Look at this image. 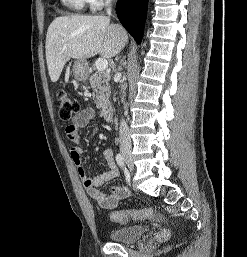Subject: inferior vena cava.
<instances>
[{
    "mask_svg": "<svg viewBox=\"0 0 247 257\" xmlns=\"http://www.w3.org/2000/svg\"><path fill=\"white\" fill-rule=\"evenodd\" d=\"M111 0H106V7L107 8V13L111 12V7H110ZM119 143L120 147H131V138H130V133H129V128L127 123L125 122L124 119L120 121V128H119Z\"/></svg>",
    "mask_w": 247,
    "mask_h": 257,
    "instance_id": "inferior-vena-cava-1",
    "label": "inferior vena cava"
}]
</instances>
